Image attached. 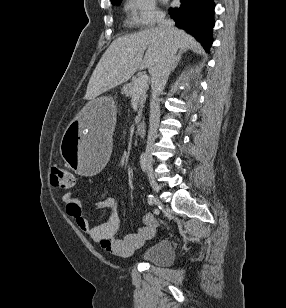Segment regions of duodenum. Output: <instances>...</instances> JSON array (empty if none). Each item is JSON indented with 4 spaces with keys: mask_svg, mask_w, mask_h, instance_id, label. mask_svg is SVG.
<instances>
[{
    "mask_svg": "<svg viewBox=\"0 0 286 308\" xmlns=\"http://www.w3.org/2000/svg\"><path fill=\"white\" fill-rule=\"evenodd\" d=\"M147 131V126L145 122H139L136 126V132L139 136H144Z\"/></svg>",
    "mask_w": 286,
    "mask_h": 308,
    "instance_id": "duodenum-1",
    "label": "duodenum"
}]
</instances>
